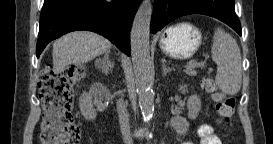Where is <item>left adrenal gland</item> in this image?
<instances>
[{"instance_id": "a2214340", "label": "left adrenal gland", "mask_w": 273, "mask_h": 144, "mask_svg": "<svg viewBox=\"0 0 273 144\" xmlns=\"http://www.w3.org/2000/svg\"><path fill=\"white\" fill-rule=\"evenodd\" d=\"M172 71L171 68L167 67L165 60H162V72H163V77L169 72Z\"/></svg>"}]
</instances>
